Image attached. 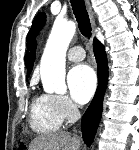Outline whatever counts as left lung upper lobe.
Here are the masks:
<instances>
[{
	"mask_svg": "<svg viewBox=\"0 0 139 150\" xmlns=\"http://www.w3.org/2000/svg\"><path fill=\"white\" fill-rule=\"evenodd\" d=\"M44 22H45V13H43V12L39 13L36 16V18L34 19L32 27H31V29L28 33V36H27V46H28V48L31 45V41H32L33 37L35 35H37L38 32L41 30ZM26 61H27V54H26Z\"/></svg>",
	"mask_w": 139,
	"mask_h": 150,
	"instance_id": "1",
	"label": "left lung upper lobe"
}]
</instances>
